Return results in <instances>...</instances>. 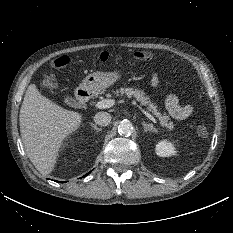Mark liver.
Wrapping results in <instances>:
<instances>
[{"instance_id": "liver-1", "label": "liver", "mask_w": 233, "mask_h": 233, "mask_svg": "<svg viewBox=\"0 0 233 233\" xmlns=\"http://www.w3.org/2000/svg\"><path fill=\"white\" fill-rule=\"evenodd\" d=\"M27 156L41 174L53 171L63 141L82 123V115L43 96L35 84L26 90L19 114Z\"/></svg>"}]
</instances>
